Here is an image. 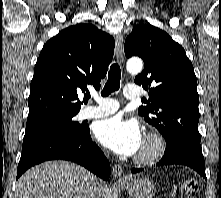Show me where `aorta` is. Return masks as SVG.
Instances as JSON below:
<instances>
[{"instance_id": "aorta-1", "label": "aorta", "mask_w": 221, "mask_h": 198, "mask_svg": "<svg viewBox=\"0 0 221 198\" xmlns=\"http://www.w3.org/2000/svg\"><path fill=\"white\" fill-rule=\"evenodd\" d=\"M142 61L138 58L130 59L127 62V70L130 73H139L142 70Z\"/></svg>"}]
</instances>
